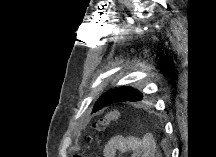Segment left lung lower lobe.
Here are the masks:
<instances>
[{
    "label": "left lung lower lobe",
    "mask_w": 216,
    "mask_h": 157,
    "mask_svg": "<svg viewBox=\"0 0 216 157\" xmlns=\"http://www.w3.org/2000/svg\"><path fill=\"white\" fill-rule=\"evenodd\" d=\"M96 104H97V103H96ZM96 104H95V105H96ZM95 105H94V106H95ZM97 111H99L98 107L95 109V112H97Z\"/></svg>",
    "instance_id": "left-lung-lower-lobe-1"
}]
</instances>
